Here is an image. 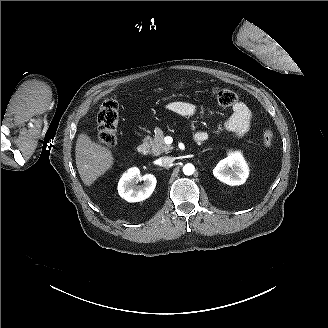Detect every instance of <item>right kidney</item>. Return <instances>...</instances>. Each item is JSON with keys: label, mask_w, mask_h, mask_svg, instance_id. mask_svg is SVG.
I'll return each instance as SVG.
<instances>
[{"label": "right kidney", "mask_w": 328, "mask_h": 328, "mask_svg": "<svg viewBox=\"0 0 328 328\" xmlns=\"http://www.w3.org/2000/svg\"><path fill=\"white\" fill-rule=\"evenodd\" d=\"M143 180L144 184L138 186L137 182ZM156 177L153 174L142 175L136 168L128 170L120 179L118 192L128 202H139L151 196L156 187Z\"/></svg>", "instance_id": "right-kidney-1"}]
</instances>
